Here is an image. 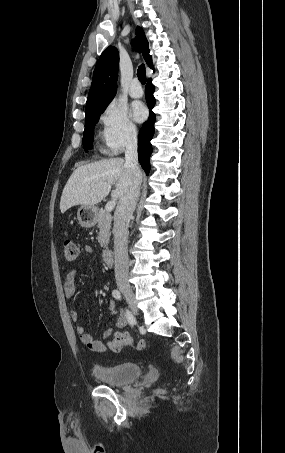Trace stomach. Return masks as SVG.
Returning <instances> with one entry per match:
<instances>
[{"mask_svg":"<svg viewBox=\"0 0 285 453\" xmlns=\"http://www.w3.org/2000/svg\"><path fill=\"white\" fill-rule=\"evenodd\" d=\"M79 224L84 228H91L97 222V211L95 207L82 205L77 212Z\"/></svg>","mask_w":285,"mask_h":453,"instance_id":"obj_1","label":"stomach"}]
</instances>
